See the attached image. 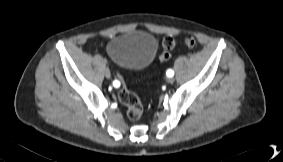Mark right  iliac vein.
Instances as JSON below:
<instances>
[{
    "label": "right iliac vein",
    "mask_w": 283,
    "mask_h": 162,
    "mask_svg": "<svg viewBox=\"0 0 283 162\" xmlns=\"http://www.w3.org/2000/svg\"><path fill=\"white\" fill-rule=\"evenodd\" d=\"M104 74L106 76V78H110L111 77V73L109 69H105Z\"/></svg>",
    "instance_id": "63e3f726"
}]
</instances>
